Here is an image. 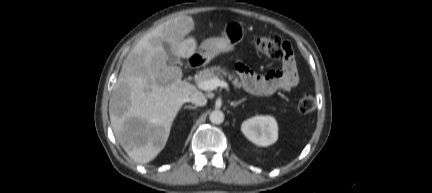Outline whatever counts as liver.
I'll return each instance as SVG.
<instances>
[{
	"label": "liver",
	"instance_id": "liver-1",
	"mask_svg": "<svg viewBox=\"0 0 432 193\" xmlns=\"http://www.w3.org/2000/svg\"><path fill=\"white\" fill-rule=\"evenodd\" d=\"M190 16H178L145 35L123 62L109 101L114 135L135 162L152 161L165 147L172 123L196 88L182 81L179 67L167 65L168 43L174 55L190 58L196 40ZM187 36V37H186Z\"/></svg>",
	"mask_w": 432,
	"mask_h": 193
}]
</instances>
